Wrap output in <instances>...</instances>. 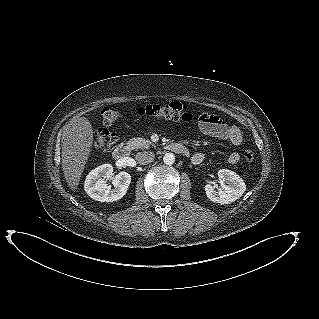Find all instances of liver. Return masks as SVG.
I'll use <instances>...</instances> for the list:
<instances>
[{
	"mask_svg": "<svg viewBox=\"0 0 319 319\" xmlns=\"http://www.w3.org/2000/svg\"><path fill=\"white\" fill-rule=\"evenodd\" d=\"M93 143V128L86 117L73 120L62 135V169L70 189L76 190Z\"/></svg>",
	"mask_w": 319,
	"mask_h": 319,
	"instance_id": "liver-1",
	"label": "liver"
}]
</instances>
